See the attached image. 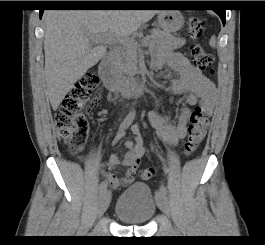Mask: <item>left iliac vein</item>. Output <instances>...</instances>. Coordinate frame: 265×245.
<instances>
[{
    "mask_svg": "<svg viewBox=\"0 0 265 245\" xmlns=\"http://www.w3.org/2000/svg\"><path fill=\"white\" fill-rule=\"evenodd\" d=\"M157 203L158 207L161 211H163L165 214L170 215V206H169V200L166 194L160 193L157 197Z\"/></svg>",
    "mask_w": 265,
    "mask_h": 245,
    "instance_id": "obj_1",
    "label": "left iliac vein"
}]
</instances>
